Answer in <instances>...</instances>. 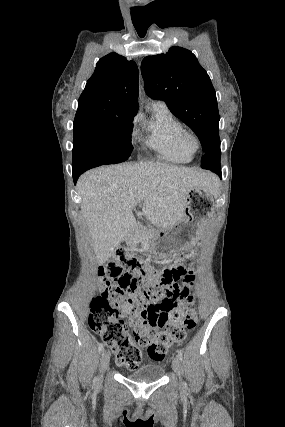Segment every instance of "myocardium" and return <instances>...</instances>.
I'll list each match as a JSON object with an SVG mask.
<instances>
[{
	"mask_svg": "<svg viewBox=\"0 0 285 427\" xmlns=\"http://www.w3.org/2000/svg\"><path fill=\"white\" fill-rule=\"evenodd\" d=\"M180 141L185 149L195 153L201 148V140L196 132L183 128L180 133Z\"/></svg>",
	"mask_w": 285,
	"mask_h": 427,
	"instance_id": "obj_1",
	"label": "myocardium"
}]
</instances>
